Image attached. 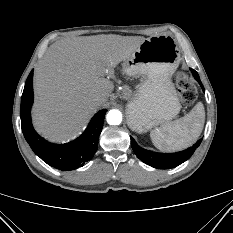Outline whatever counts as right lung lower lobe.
<instances>
[{"label":"right lung lower lobe","instance_id":"98d812e1","mask_svg":"<svg viewBox=\"0 0 233 233\" xmlns=\"http://www.w3.org/2000/svg\"><path fill=\"white\" fill-rule=\"evenodd\" d=\"M32 103L33 70L26 80L21 97L20 117L24 137L37 156L48 165L62 171L74 170L93 158L107 110L97 112L80 137L62 145L49 143L36 133L31 123Z\"/></svg>","mask_w":233,"mask_h":233}]
</instances>
